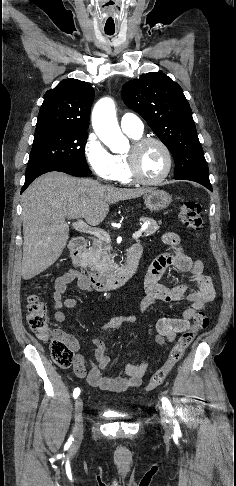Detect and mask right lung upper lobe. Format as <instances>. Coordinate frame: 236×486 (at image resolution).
<instances>
[{
  "label": "right lung upper lobe",
  "mask_w": 236,
  "mask_h": 486,
  "mask_svg": "<svg viewBox=\"0 0 236 486\" xmlns=\"http://www.w3.org/2000/svg\"><path fill=\"white\" fill-rule=\"evenodd\" d=\"M94 89L77 79H64L48 90L40 108L36 129L63 128L87 131Z\"/></svg>",
  "instance_id": "obj_1"
}]
</instances>
